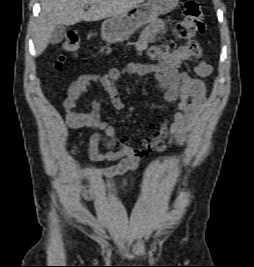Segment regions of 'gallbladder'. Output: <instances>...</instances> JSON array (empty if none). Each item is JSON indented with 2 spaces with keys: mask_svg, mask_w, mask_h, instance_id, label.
Returning a JSON list of instances; mask_svg holds the SVG:
<instances>
[{
  "mask_svg": "<svg viewBox=\"0 0 254 267\" xmlns=\"http://www.w3.org/2000/svg\"><path fill=\"white\" fill-rule=\"evenodd\" d=\"M66 36V27L63 25L57 26L50 38V44L55 45L61 42Z\"/></svg>",
  "mask_w": 254,
  "mask_h": 267,
  "instance_id": "obj_1",
  "label": "gallbladder"
}]
</instances>
